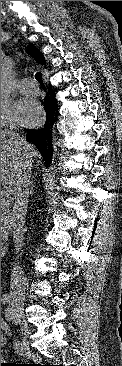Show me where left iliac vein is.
<instances>
[{"instance_id":"obj_1","label":"left iliac vein","mask_w":122,"mask_h":366,"mask_svg":"<svg viewBox=\"0 0 122 366\" xmlns=\"http://www.w3.org/2000/svg\"><path fill=\"white\" fill-rule=\"evenodd\" d=\"M6 317H7V315H6ZM10 319H12L13 320V322L15 323V324H17V321H16V319H15V313L13 312L10 316ZM8 318V317H7Z\"/></svg>"}]
</instances>
